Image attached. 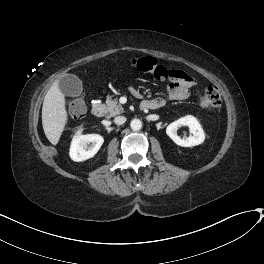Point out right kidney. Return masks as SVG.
Here are the masks:
<instances>
[{
    "label": "right kidney",
    "instance_id": "right-kidney-1",
    "mask_svg": "<svg viewBox=\"0 0 264 264\" xmlns=\"http://www.w3.org/2000/svg\"><path fill=\"white\" fill-rule=\"evenodd\" d=\"M103 142V137L98 134L81 135L79 131L72 139L70 157L76 162L92 158Z\"/></svg>",
    "mask_w": 264,
    "mask_h": 264
}]
</instances>
